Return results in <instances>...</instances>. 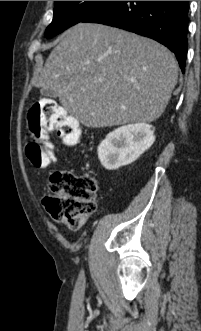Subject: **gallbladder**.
<instances>
[{
	"label": "gallbladder",
	"mask_w": 201,
	"mask_h": 331,
	"mask_svg": "<svg viewBox=\"0 0 201 331\" xmlns=\"http://www.w3.org/2000/svg\"><path fill=\"white\" fill-rule=\"evenodd\" d=\"M41 95H43L46 98H56L57 97V93L53 90L50 89H44L42 88L40 90Z\"/></svg>",
	"instance_id": "obj_1"
}]
</instances>
